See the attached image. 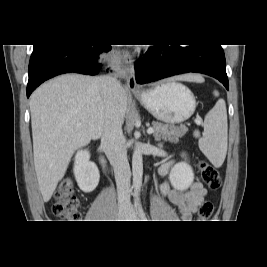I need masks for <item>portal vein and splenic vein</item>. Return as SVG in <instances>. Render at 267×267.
<instances>
[{"label":"portal vein and splenic vein","instance_id":"portal-vein-and-splenic-vein-1","mask_svg":"<svg viewBox=\"0 0 267 267\" xmlns=\"http://www.w3.org/2000/svg\"><path fill=\"white\" fill-rule=\"evenodd\" d=\"M147 133H148V134H152V133H154V129H153L152 127L148 128Z\"/></svg>","mask_w":267,"mask_h":267}]
</instances>
